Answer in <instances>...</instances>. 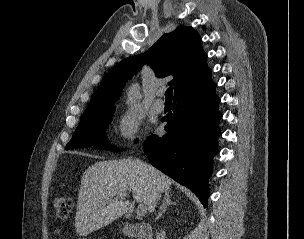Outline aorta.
I'll return each mask as SVG.
<instances>
[{
	"instance_id": "1",
	"label": "aorta",
	"mask_w": 304,
	"mask_h": 239,
	"mask_svg": "<svg viewBox=\"0 0 304 239\" xmlns=\"http://www.w3.org/2000/svg\"><path fill=\"white\" fill-rule=\"evenodd\" d=\"M139 98L138 88L136 86H132L129 90L128 101L134 103Z\"/></svg>"
}]
</instances>
